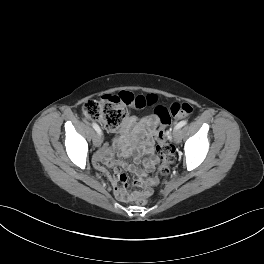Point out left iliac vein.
I'll list each match as a JSON object with an SVG mask.
<instances>
[{"mask_svg": "<svg viewBox=\"0 0 264 264\" xmlns=\"http://www.w3.org/2000/svg\"><path fill=\"white\" fill-rule=\"evenodd\" d=\"M173 138H174L175 143H179L181 141V131L179 129L174 130Z\"/></svg>", "mask_w": 264, "mask_h": 264, "instance_id": "left-iliac-vein-1", "label": "left iliac vein"}]
</instances>
